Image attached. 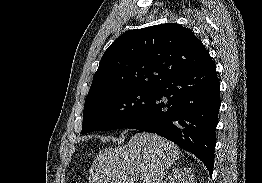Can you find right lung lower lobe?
Returning <instances> with one entry per match:
<instances>
[{
    "label": "right lung lower lobe",
    "mask_w": 262,
    "mask_h": 183,
    "mask_svg": "<svg viewBox=\"0 0 262 183\" xmlns=\"http://www.w3.org/2000/svg\"><path fill=\"white\" fill-rule=\"evenodd\" d=\"M220 82L211 60L160 84L150 105L127 128L156 133L200 159L212 175Z\"/></svg>",
    "instance_id": "98d812e1"
}]
</instances>
